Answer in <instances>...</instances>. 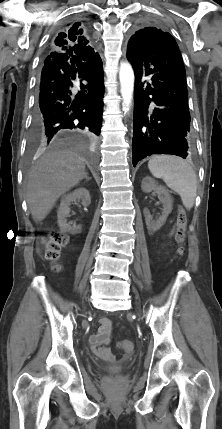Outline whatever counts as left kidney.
Here are the masks:
<instances>
[{
  "label": "left kidney",
  "mask_w": 222,
  "mask_h": 429,
  "mask_svg": "<svg viewBox=\"0 0 222 429\" xmlns=\"http://www.w3.org/2000/svg\"><path fill=\"white\" fill-rule=\"evenodd\" d=\"M141 188L145 193H149L154 190L158 194V199L163 205L162 214L156 221L153 220L147 209H144L143 211L148 231L156 232L164 225L168 215L171 213L173 198L170 196L168 190L165 187L156 184V182L151 177H145L142 180Z\"/></svg>",
  "instance_id": "5707ae66"
}]
</instances>
